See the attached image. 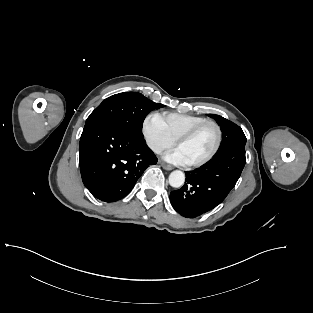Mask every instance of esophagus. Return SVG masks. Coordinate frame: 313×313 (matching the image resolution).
<instances>
[{
	"label": "esophagus",
	"instance_id": "34e87169",
	"mask_svg": "<svg viewBox=\"0 0 313 313\" xmlns=\"http://www.w3.org/2000/svg\"><path fill=\"white\" fill-rule=\"evenodd\" d=\"M161 167L168 171L173 169V166L165 164V163H161Z\"/></svg>",
	"mask_w": 313,
	"mask_h": 313
}]
</instances>
